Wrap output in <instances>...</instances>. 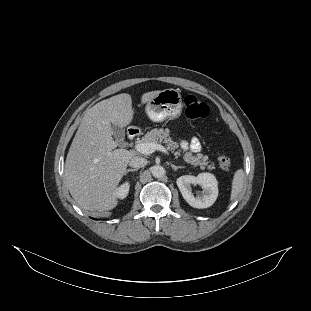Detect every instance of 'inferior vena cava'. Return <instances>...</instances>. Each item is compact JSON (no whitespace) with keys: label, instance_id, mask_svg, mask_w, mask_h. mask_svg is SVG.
Returning <instances> with one entry per match:
<instances>
[{"label":"inferior vena cava","instance_id":"1","mask_svg":"<svg viewBox=\"0 0 311 311\" xmlns=\"http://www.w3.org/2000/svg\"><path fill=\"white\" fill-rule=\"evenodd\" d=\"M147 164V159L140 156H134L129 160L128 165L132 168L139 169Z\"/></svg>","mask_w":311,"mask_h":311}]
</instances>
